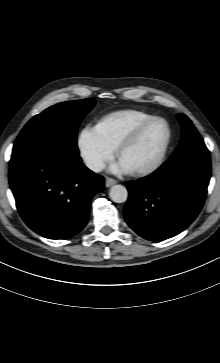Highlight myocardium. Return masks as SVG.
<instances>
[{
    "instance_id": "obj_1",
    "label": "myocardium",
    "mask_w": 220,
    "mask_h": 363,
    "mask_svg": "<svg viewBox=\"0 0 220 363\" xmlns=\"http://www.w3.org/2000/svg\"><path fill=\"white\" fill-rule=\"evenodd\" d=\"M157 122L163 123L166 127L167 135H166V140L164 142V145H163L157 159L152 164H150L146 167L135 169V170L131 171V173L135 176L149 175V174L155 172L156 170H158L164 163L167 153L169 151L171 142H172V129H171L169 123L167 122V120H165L162 117H153V118L137 125L127 135H125L115 147V156L118 158L119 155L126 148L131 146L138 139V137L143 133V131L145 129H147L149 126H151L152 124L157 123Z\"/></svg>"
}]
</instances>
